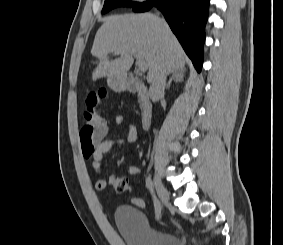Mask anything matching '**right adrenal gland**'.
<instances>
[{
	"instance_id": "right-adrenal-gland-1",
	"label": "right adrenal gland",
	"mask_w": 283,
	"mask_h": 245,
	"mask_svg": "<svg viewBox=\"0 0 283 245\" xmlns=\"http://www.w3.org/2000/svg\"><path fill=\"white\" fill-rule=\"evenodd\" d=\"M185 69H179L175 71L171 78L169 79L168 83L166 84V89L170 88L171 82L174 80L176 82H182L184 80Z\"/></svg>"
}]
</instances>
